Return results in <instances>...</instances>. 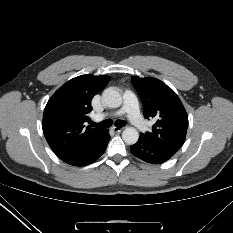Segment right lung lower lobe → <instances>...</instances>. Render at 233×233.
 <instances>
[{
    "instance_id": "obj_1",
    "label": "right lung lower lobe",
    "mask_w": 233,
    "mask_h": 233,
    "mask_svg": "<svg viewBox=\"0 0 233 233\" xmlns=\"http://www.w3.org/2000/svg\"><path fill=\"white\" fill-rule=\"evenodd\" d=\"M109 140L108 130H105L102 136L86 149V151L65 162L73 166H86L91 164L105 152Z\"/></svg>"
}]
</instances>
